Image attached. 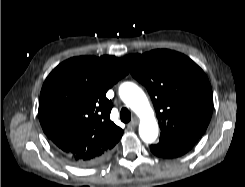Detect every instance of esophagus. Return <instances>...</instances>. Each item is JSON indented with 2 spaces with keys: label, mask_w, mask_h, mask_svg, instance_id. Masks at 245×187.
I'll return each instance as SVG.
<instances>
[{
  "label": "esophagus",
  "mask_w": 245,
  "mask_h": 187,
  "mask_svg": "<svg viewBox=\"0 0 245 187\" xmlns=\"http://www.w3.org/2000/svg\"><path fill=\"white\" fill-rule=\"evenodd\" d=\"M139 121L136 117H134L131 122H130V126L131 127H136L138 125Z\"/></svg>",
  "instance_id": "1"
}]
</instances>
